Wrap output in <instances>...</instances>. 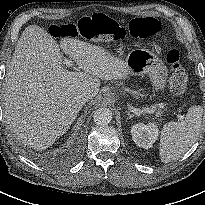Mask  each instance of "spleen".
<instances>
[{
    "label": "spleen",
    "mask_w": 205,
    "mask_h": 205,
    "mask_svg": "<svg viewBox=\"0 0 205 205\" xmlns=\"http://www.w3.org/2000/svg\"><path fill=\"white\" fill-rule=\"evenodd\" d=\"M203 108L192 106L181 122H168L161 131L160 159L169 163L183 155L197 140L201 129Z\"/></svg>",
    "instance_id": "1"
}]
</instances>
